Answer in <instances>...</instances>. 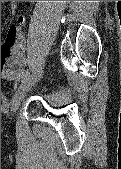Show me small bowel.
Listing matches in <instances>:
<instances>
[{
	"instance_id": "small-bowel-1",
	"label": "small bowel",
	"mask_w": 121,
	"mask_h": 169,
	"mask_svg": "<svg viewBox=\"0 0 121 169\" xmlns=\"http://www.w3.org/2000/svg\"><path fill=\"white\" fill-rule=\"evenodd\" d=\"M2 3H18L23 1H1ZM31 2V1H24ZM25 23V17H18V24L8 29L5 41L1 46V76L8 81L20 79L24 66L28 59L26 55V44L21 27Z\"/></svg>"
}]
</instances>
